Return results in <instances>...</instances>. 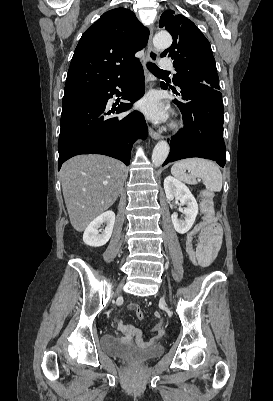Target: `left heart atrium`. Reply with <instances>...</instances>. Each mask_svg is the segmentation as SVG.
<instances>
[{"instance_id":"left-heart-atrium-1","label":"left heart atrium","mask_w":273,"mask_h":401,"mask_svg":"<svg viewBox=\"0 0 273 401\" xmlns=\"http://www.w3.org/2000/svg\"><path fill=\"white\" fill-rule=\"evenodd\" d=\"M139 109L151 120L159 121L166 117V109L162 107L158 99L154 96H149L139 103Z\"/></svg>"}]
</instances>
